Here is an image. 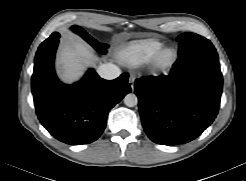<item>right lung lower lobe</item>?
I'll use <instances>...</instances> for the list:
<instances>
[{
	"mask_svg": "<svg viewBox=\"0 0 246 181\" xmlns=\"http://www.w3.org/2000/svg\"><path fill=\"white\" fill-rule=\"evenodd\" d=\"M58 39L40 46L35 56L31 88L36 113L41 124L59 141L88 144L104 131L110 109L131 91L128 74L105 80L90 69L78 83L65 85L54 71Z\"/></svg>",
	"mask_w": 246,
	"mask_h": 181,
	"instance_id": "1",
	"label": "right lung lower lobe"
}]
</instances>
